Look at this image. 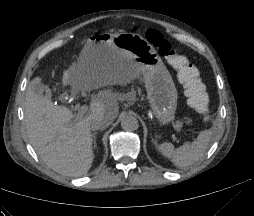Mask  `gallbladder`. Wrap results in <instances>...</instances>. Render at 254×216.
<instances>
[{
    "label": "gallbladder",
    "instance_id": "1",
    "mask_svg": "<svg viewBox=\"0 0 254 216\" xmlns=\"http://www.w3.org/2000/svg\"><path fill=\"white\" fill-rule=\"evenodd\" d=\"M33 89L39 94L43 93L44 91H46V92L48 91V88L44 85H38L37 87H33ZM48 96H49V94H48Z\"/></svg>",
    "mask_w": 254,
    "mask_h": 216
}]
</instances>
